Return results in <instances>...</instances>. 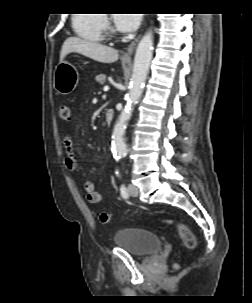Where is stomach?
<instances>
[{"instance_id": "1", "label": "stomach", "mask_w": 252, "mask_h": 303, "mask_svg": "<svg viewBox=\"0 0 252 303\" xmlns=\"http://www.w3.org/2000/svg\"><path fill=\"white\" fill-rule=\"evenodd\" d=\"M126 64V62H123ZM79 82V72L74 65L67 61L60 62L54 73V88L60 94H70Z\"/></svg>"}]
</instances>
